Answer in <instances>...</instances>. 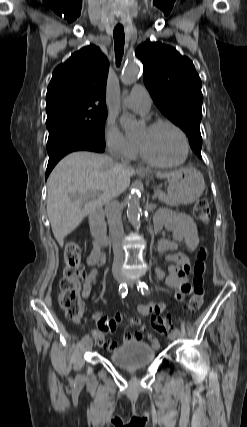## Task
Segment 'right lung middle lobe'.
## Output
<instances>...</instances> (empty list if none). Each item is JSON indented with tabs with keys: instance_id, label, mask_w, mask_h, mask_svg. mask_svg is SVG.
Segmentation results:
<instances>
[{
	"instance_id": "obj_1",
	"label": "right lung middle lobe",
	"mask_w": 247,
	"mask_h": 427,
	"mask_svg": "<svg viewBox=\"0 0 247 427\" xmlns=\"http://www.w3.org/2000/svg\"><path fill=\"white\" fill-rule=\"evenodd\" d=\"M106 117L105 106L64 107L47 114L46 126L49 132L65 130L105 146Z\"/></svg>"
}]
</instances>
